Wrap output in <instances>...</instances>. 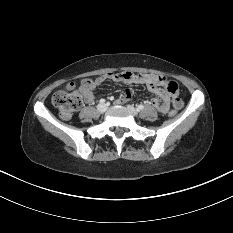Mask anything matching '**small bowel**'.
<instances>
[{"label":"small bowel","mask_w":233,"mask_h":233,"mask_svg":"<svg viewBox=\"0 0 233 233\" xmlns=\"http://www.w3.org/2000/svg\"><path fill=\"white\" fill-rule=\"evenodd\" d=\"M121 82L124 84H142L155 95L152 100V105L160 112L167 113L171 107L179 109L182 106V101L178 97L179 86L176 81L168 80L164 76L147 74V73H131V72H109L105 73L93 80L84 93V100L88 104H92L95 100L93 89L100 86L105 80ZM133 90L126 89L124 94L117 99V104H122L133 97Z\"/></svg>","instance_id":"1"}]
</instances>
